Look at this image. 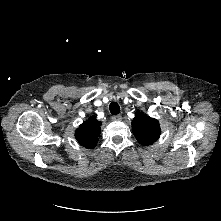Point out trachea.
I'll use <instances>...</instances> for the list:
<instances>
[{
	"label": "trachea",
	"instance_id": "obj_1",
	"mask_svg": "<svg viewBox=\"0 0 221 221\" xmlns=\"http://www.w3.org/2000/svg\"><path fill=\"white\" fill-rule=\"evenodd\" d=\"M109 110H110L112 115H117V114L120 113V106L117 102H112L109 105Z\"/></svg>",
	"mask_w": 221,
	"mask_h": 221
}]
</instances>
